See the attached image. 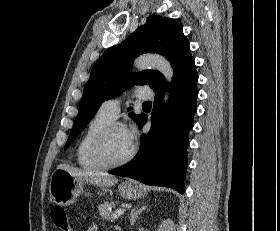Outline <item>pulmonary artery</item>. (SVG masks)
<instances>
[{
    "label": "pulmonary artery",
    "mask_w": 280,
    "mask_h": 231,
    "mask_svg": "<svg viewBox=\"0 0 280 231\" xmlns=\"http://www.w3.org/2000/svg\"><path fill=\"white\" fill-rule=\"evenodd\" d=\"M135 95L141 100H148L153 97V92L147 86H141L137 88ZM120 104L119 98L106 100L101 104L98 112L114 120L120 113Z\"/></svg>",
    "instance_id": "obj_1"
}]
</instances>
